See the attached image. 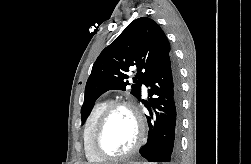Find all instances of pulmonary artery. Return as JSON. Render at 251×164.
Wrapping results in <instances>:
<instances>
[{
  "label": "pulmonary artery",
  "mask_w": 251,
  "mask_h": 164,
  "mask_svg": "<svg viewBox=\"0 0 251 164\" xmlns=\"http://www.w3.org/2000/svg\"><path fill=\"white\" fill-rule=\"evenodd\" d=\"M142 92H143V94L146 95V93H147V88H146L145 85H142Z\"/></svg>",
  "instance_id": "e3ab8cb5"
}]
</instances>
